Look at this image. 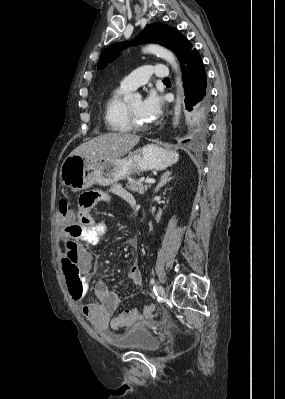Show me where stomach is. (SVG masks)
I'll return each instance as SVG.
<instances>
[{"label":"stomach","mask_w":285,"mask_h":399,"mask_svg":"<svg viewBox=\"0 0 285 399\" xmlns=\"http://www.w3.org/2000/svg\"><path fill=\"white\" fill-rule=\"evenodd\" d=\"M178 155L157 145H147L123 159H99L91 161L80 155H69L60 168L64 186L81 191L97 183L110 185L133 172L164 170L176 163Z\"/></svg>","instance_id":"obj_1"}]
</instances>
